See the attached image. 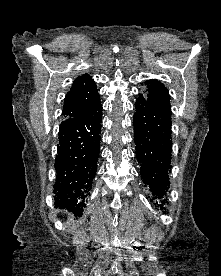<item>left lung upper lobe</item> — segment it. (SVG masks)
<instances>
[{
    "instance_id": "obj_1",
    "label": "left lung upper lobe",
    "mask_w": 221,
    "mask_h": 276,
    "mask_svg": "<svg viewBox=\"0 0 221 276\" xmlns=\"http://www.w3.org/2000/svg\"><path fill=\"white\" fill-rule=\"evenodd\" d=\"M145 84L147 85V89L143 92V95L147 101L171 114L169 94L165 86L155 80H148Z\"/></svg>"
}]
</instances>
